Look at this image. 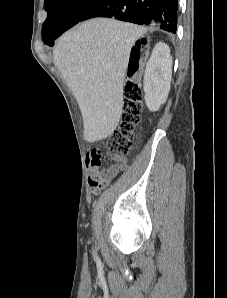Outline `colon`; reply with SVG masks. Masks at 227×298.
<instances>
[{"instance_id":"obj_1","label":"colon","mask_w":227,"mask_h":298,"mask_svg":"<svg viewBox=\"0 0 227 298\" xmlns=\"http://www.w3.org/2000/svg\"><path fill=\"white\" fill-rule=\"evenodd\" d=\"M147 45V41L142 39L138 42V47ZM139 58L132 56L129 64V76H132L138 69ZM143 91L140 84L129 78L124 87V103L121 125L115 130L106 141L109 152L114 154H127L133 148V142L136 137V127L140 120L142 109ZM92 186H98L93 182Z\"/></svg>"}]
</instances>
